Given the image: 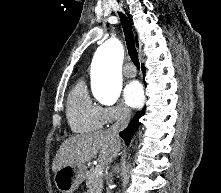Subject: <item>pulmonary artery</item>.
<instances>
[{
	"label": "pulmonary artery",
	"instance_id": "pulmonary-artery-1",
	"mask_svg": "<svg viewBox=\"0 0 221 193\" xmlns=\"http://www.w3.org/2000/svg\"><path fill=\"white\" fill-rule=\"evenodd\" d=\"M123 74L125 77L132 78L136 76V70L132 64H127L123 69Z\"/></svg>",
	"mask_w": 221,
	"mask_h": 193
}]
</instances>
